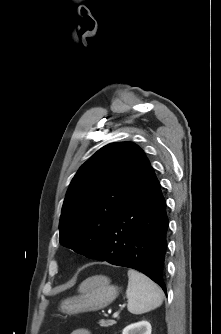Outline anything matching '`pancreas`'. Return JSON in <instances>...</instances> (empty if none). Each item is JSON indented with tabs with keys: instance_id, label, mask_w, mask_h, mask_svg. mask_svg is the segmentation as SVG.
Returning a JSON list of instances; mask_svg holds the SVG:
<instances>
[{
	"instance_id": "pancreas-1",
	"label": "pancreas",
	"mask_w": 221,
	"mask_h": 334,
	"mask_svg": "<svg viewBox=\"0 0 221 334\" xmlns=\"http://www.w3.org/2000/svg\"><path fill=\"white\" fill-rule=\"evenodd\" d=\"M116 324V322L114 320H104V319H101L99 321V325L102 326V327H109V326H112Z\"/></svg>"
}]
</instances>
